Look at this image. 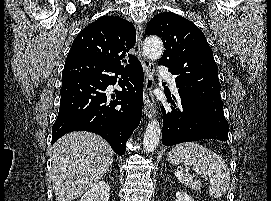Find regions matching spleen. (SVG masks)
<instances>
[{
	"label": "spleen",
	"instance_id": "spleen-1",
	"mask_svg": "<svg viewBox=\"0 0 271 201\" xmlns=\"http://www.w3.org/2000/svg\"><path fill=\"white\" fill-rule=\"evenodd\" d=\"M172 165L183 162L185 165L193 166L197 174L208 175L210 178L209 195L212 198L223 196L230 186V171L225 161L196 142H185L175 146L168 158ZM174 174L180 183L194 188L198 183L194 176L182 171L174 170Z\"/></svg>",
	"mask_w": 271,
	"mask_h": 201
}]
</instances>
